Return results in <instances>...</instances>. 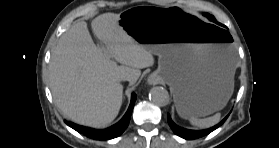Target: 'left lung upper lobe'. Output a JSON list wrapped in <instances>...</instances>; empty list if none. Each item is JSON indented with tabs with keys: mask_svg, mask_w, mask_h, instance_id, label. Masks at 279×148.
I'll use <instances>...</instances> for the list:
<instances>
[{
	"mask_svg": "<svg viewBox=\"0 0 279 148\" xmlns=\"http://www.w3.org/2000/svg\"><path fill=\"white\" fill-rule=\"evenodd\" d=\"M204 15H205L209 20L213 21L214 23L219 24V23L216 21V19H215L212 15H210V14H208V13H204Z\"/></svg>",
	"mask_w": 279,
	"mask_h": 148,
	"instance_id": "left-lung-upper-lobe-1",
	"label": "left lung upper lobe"
}]
</instances>
